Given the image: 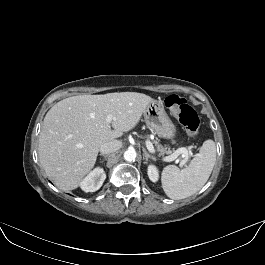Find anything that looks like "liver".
<instances>
[{"instance_id": "liver-1", "label": "liver", "mask_w": 265, "mask_h": 265, "mask_svg": "<svg viewBox=\"0 0 265 265\" xmlns=\"http://www.w3.org/2000/svg\"><path fill=\"white\" fill-rule=\"evenodd\" d=\"M152 101L142 93L120 92L56 103L39 135V160L47 176L65 192L76 189L93 169L100 147L133 129Z\"/></svg>"}]
</instances>
